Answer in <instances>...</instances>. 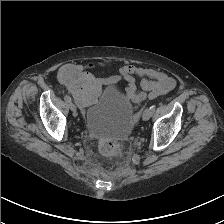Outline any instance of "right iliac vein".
Segmentation results:
<instances>
[{
    "mask_svg": "<svg viewBox=\"0 0 224 224\" xmlns=\"http://www.w3.org/2000/svg\"><path fill=\"white\" fill-rule=\"evenodd\" d=\"M69 107L71 109V111L76 112V106L75 104H73L72 102L69 103Z\"/></svg>",
    "mask_w": 224,
    "mask_h": 224,
    "instance_id": "right-iliac-vein-1",
    "label": "right iliac vein"
}]
</instances>
